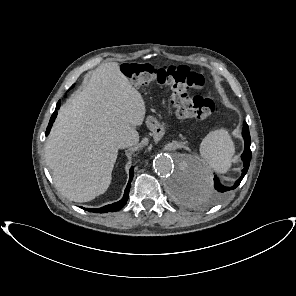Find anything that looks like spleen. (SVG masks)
Instances as JSON below:
<instances>
[{
    "instance_id": "spleen-1",
    "label": "spleen",
    "mask_w": 296,
    "mask_h": 296,
    "mask_svg": "<svg viewBox=\"0 0 296 296\" xmlns=\"http://www.w3.org/2000/svg\"><path fill=\"white\" fill-rule=\"evenodd\" d=\"M234 152V144L225 129L211 131L200 145L202 158L220 173L228 171ZM196 195H203V193H196Z\"/></svg>"
}]
</instances>
